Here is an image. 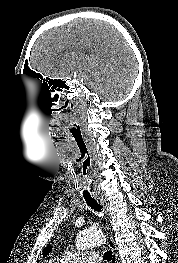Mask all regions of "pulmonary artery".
Instances as JSON below:
<instances>
[{
    "label": "pulmonary artery",
    "instance_id": "obj_1",
    "mask_svg": "<svg viewBox=\"0 0 178 263\" xmlns=\"http://www.w3.org/2000/svg\"><path fill=\"white\" fill-rule=\"evenodd\" d=\"M61 263H100V255L95 251L65 252L60 259Z\"/></svg>",
    "mask_w": 178,
    "mask_h": 263
}]
</instances>
